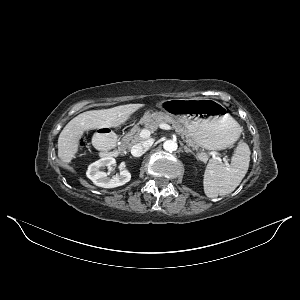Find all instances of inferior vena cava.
Segmentation results:
<instances>
[{"instance_id": "1", "label": "inferior vena cava", "mask_w": 300, "mask_h": 300, "mask_svg": "<svg viewBox=\"0 0 300 300\" xmlns=\"http://www.w3.org/2000/svg\"><path fill=\"white\" fill-rule=\"evenodd\" d=\"M150 146H151V144L147 143V142L134 145L131 148V154L134 157H140L150 148Z\"/></svg>"}]
</instances>
